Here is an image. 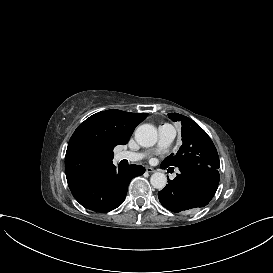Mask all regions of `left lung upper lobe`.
Masks as SVG:
<instances>
[{
  "instance_id": "left-lung-upper-lobe-1",
  "label": "left lung upper lobe",
  "mask_w": 273,
  "mask_h": 273,
  "mask_svg": "<svg viewBox=\"0 0 273 273\" xmlns=\"http://www.w3.org/2000/svg\"><path fill=\"white\" fill-rule=\"evenodd\" d=\"M168 117L181 122L183 144L175 155L166 157L162 164L166 167L206 165L219 169L218 153L208 134L192 119L182 114L169 113Z\"/></svg>"
}]
</instances>
